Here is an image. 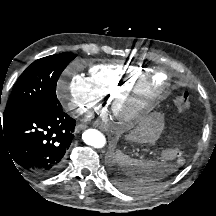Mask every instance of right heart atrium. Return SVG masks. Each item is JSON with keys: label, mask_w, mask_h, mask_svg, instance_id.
Here are the masks:
<instances>
[{"label": "right heart atrium", "mask_w": 216, "mask_h": 216, "mask_svg": "<svg viewBox=\"0 0 216 216\" xmlns=\"http://www.w3.org/2000/svg\"><path fill=\"white\" fill-rule=\"evenodd\" d=\"M57 94L64 107L73 115L89 117L102 108V98L89 77L66 71L57 84Z\"/></svg>", "instance_id": "right-heart-atrium-1"}]
</instances>
